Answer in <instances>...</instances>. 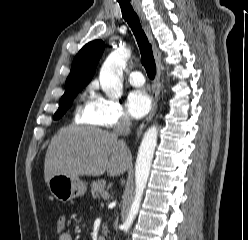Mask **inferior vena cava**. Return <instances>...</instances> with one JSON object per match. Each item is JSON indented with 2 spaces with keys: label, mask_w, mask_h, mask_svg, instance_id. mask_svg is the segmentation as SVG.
I'll return each mask as SVG.
<instances>
[{
  "label": "inferior vena cava",
  "mask_w": 248,
  "mask_h": 240,
  "mask_svg": "<svg viewBox=\"0 0 248 240\" xmlns=\"http://www.w3.org/2000/svg\"><path fill=\"white\" fill-rule=\"evenodd\" d=\"M131 122L128 118L122 119V121L116 126L115 133L128 135L130 133Z\"/></svg>",
  "instance_id": "obj_1"
}]
</instances>
